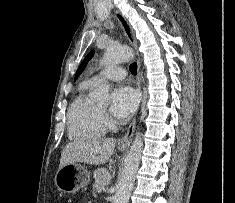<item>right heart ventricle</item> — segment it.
<instances>
[{
    "label": "right heart ventricle",
    "mask_w": 235,
    "mask_h": 203,
    "mask_svg": "<svg viewBox=\"0 0 235 203\" xmlns=\"http://www.w3.org/2000/svg\"><path fill=\"white\" fill-rule=\"evenodd\" d=\"M92 83H84L68 110V135L73 140L102 137L106 125L100 108L88 97Z\"/></svg>",
    "instance_id": "obj_1"
}]
</instances>
